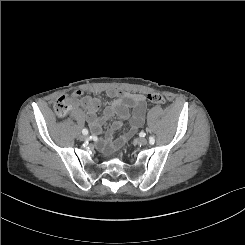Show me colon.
<instances>
[{"label":"colon","instance_id":"5ec220e1","mask_svg":"<svg viewBox=\"0 0 245 245\" xmlns=\"http://www.w3.org/2000/svg\"><path fill=\"white\" fill-rule=\"evenodd\" d=\"M80 94L76 93L72 96L63 95L57 99L54 105V109L56 114L59 117L65 116L70 109L77 106L78 104H82L84 98H80ZM147 99L149 102L157 105H162L166 102L165 97L159 93H150L147 95Z\"/></svg>","mask_w":245,"mask_h":245}]
</instances>
